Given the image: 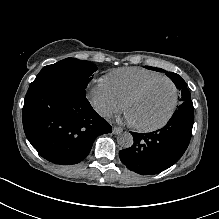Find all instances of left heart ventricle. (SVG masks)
<instances>
[{"label": "left heart ventricle", "mask_w": 219, "mask_h": 219, "mask_svg": "<svg viewBox=\"0 0 219 219\" xmlns=\"http://www.w3.org/2000/svg\"><path fill=\"white\" fill-rule=\"evenodd\" d=\"M173 99L170 83L161 81L133 100L127 108L134 124L151 126L159 123L167 113Z\"/></svg>", "instance_id": "1"}]
</instances>
